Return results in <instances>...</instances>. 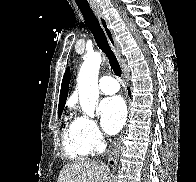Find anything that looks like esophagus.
Masks as SVG:
<instances>
[{
	"instance_id": "esophagus-1",
	"label": "esophagus",
	"mask_w": 196,
	"mask_h": 182,
	"mask_svg": "<svg viewBox=\"0 0 196 182\" xmlns=\"http://www.w3.org/2000/svg\"><path fill=\"white\" fill-rule=\"evenodd\" d=\"M93 11L99 20V23L106 35L109 45L114 50L118 59H120L121 58L120 47H119L118 42L115 39V35L113 31L111 30L106 17L103 15L102 10L99 7H93ZM119 145H120V142L118 141L115 147L110 151L109 156L117 155V153L119 152Z\"/></svg>"
}]
</instances>
